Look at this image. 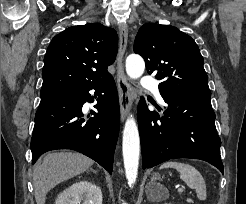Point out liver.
<instances>
[{
    "label": "liver",
    "instance_id": "1",
    "mask_svg": "<svg viewBox=\"0 0 246 204\" xmlns=\"http://www.w3.org/2000/svg\"><path fill=\"white\" fill-rule=\"evenodd\" d=\"M93 160L75 152H53L44 156L33 171L36 204H45L47 193L57 184L84 171Z\"/></svg>",
    "mask_w": 246,
    "mask_h": 204
}]
</instances>
